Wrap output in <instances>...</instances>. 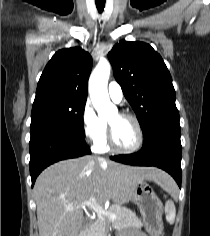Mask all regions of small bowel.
I'll list each match as a JSON object with an SVG mask.
<instances>
[{"label":"small bowel","instance_id":"small-bowel-1","mask_svg":"<svg viewBox=\"0 0 210 236\" xmlns=\"http://www.w3.org/2000/svg\"><path fill=\"white\" fill-rule=\"evenodd\" d=\"M119 236H145V235H142L138 232L128 231V232L120 234Z\"/></svg>","mask_w":210,"mask_h":236}]
</instances>
